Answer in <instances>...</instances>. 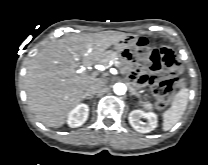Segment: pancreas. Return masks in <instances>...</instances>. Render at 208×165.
Wrapping results in <instances>:
<instances>
[{
    "instance_id": "pancreas-1",
    "label": "pancreas",
    "mask_w": 208,
    "mask_h": 165,
    "mask_svg": "<svg viewBox=\"0 0 208 165\" xmlns=\"http://www.w3.org/2000/svg\"><path fill=\"white\" fill-rule=\"evenodd\" d=\"M110 61H113L114 63H119L122 64V59L121 57L118 55L117 52H114L112 50L106 51L104 54V57L102 59V63L104 65H108L110 63Z\"/></svg>"
}]
</instances>
